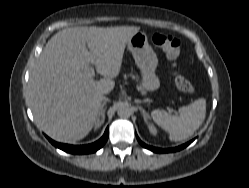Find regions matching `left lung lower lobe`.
I'll return each mask as SVG.
<instances>
[{
	"mask_svg": "<svg viewBox=\"0 0 249 188\" xmlns=\"http://www.w3.org/2000/svg\"><path fill=\"white\" fill-rule=\"evenodd\" d=\"M137 139H138L139 143H140L143 147H145V148H147V149H149V150H151V151H153V152H156V153H165V152H175V151H179V150L185 148L186 146H188V145L191 143V141H190V142H188V143H186V144H184V145H181V146H179V147H176V148H171V149H160V148H155V147H151V146H148V145L144 144L138 137H137Z\"/></svg>",
	"mask_w": 249,
	"mask_h": 188,
	"instance_id": "obj_1",
	"label": "left lung lower lobe"
}]
</instances>
